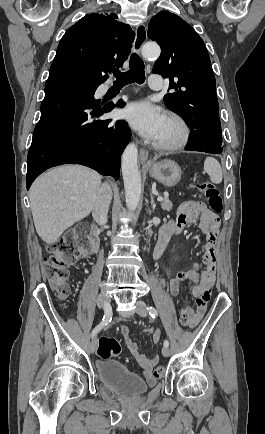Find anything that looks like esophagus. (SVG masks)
<instances>
[{
	"label": "esophagus",
	"mask_w": 265,
	"mask_h": 434,
	"mask_svg": "<svg viewBox=\"0 0 265 434\" xmlns=\"http://www.w3.org/2000/svg\"><path fill=\"white\" fill-rule=\"evenodd\" d=\"M147 40V29L143 23L139 24L135 28V41L133 44L132 51L133 53H139L142 46ZM139 158L142 164H146L148 161V151L144 148H141L139 151Z\"/></svg>",
	"instance_id": "esophagus-1"
}]
</instances>
